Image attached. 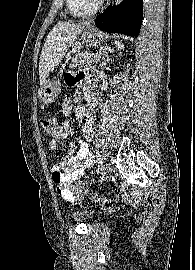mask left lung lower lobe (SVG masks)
<instances>
[{
    "instance_id": "obj_1",
    "label": "left lung lower lobe",
    "mask_w": 195,
    "mask_h": 270,
    "mask_svg": "<svg viewBox=\"0 0 195 270\" xmlns=\"http://www.w3.org/2000/svg\"><path fill=\"white\" fill-rule=\"evenodd\" d=\"M143 18L142 0H123L117 7L109 6L97 16L95 25L106 32L137 38Z\"/></svg>"
}]
</instances>
